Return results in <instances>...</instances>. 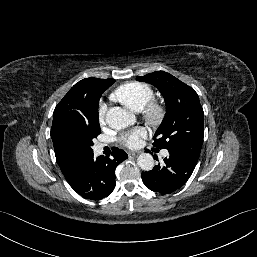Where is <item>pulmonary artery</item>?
<instances>
[{
  "mask_svg": "<svg viewBox=\"0 0 257 257\" xmlns=\"http://www.w3.org/2000/svg\"><path fill=\"white\" fill-rule=\"evenodd\" d=\"M102 148H103V145H102V144H99V145L96 146V150H97V151H101ZM162 154H163V156H167V155H168V151H167V150H164V151L162 152Z\"/></svg>",
  "mask_w": 257,
  "mask_h": 257,
  "instance_id": "e3ab8cb5",
  "label": "pulmonary artery"
}]
</instances>
